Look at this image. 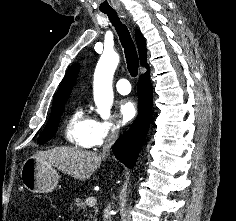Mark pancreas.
Returning <instances> with one entry per match:
<instances>
[{
  "label": "pancreas",
  "mask_w": 236,
  "mask_h": 221,
  "mask_svg": "<svg viewBox=\"0 0 236 221\" xmlns=\"http://www.w3.org/2000/svg\"><path fill=\"white\" fill-rule=\"evenodd\" d=\"M76 207V211L78 212L79 210H81L82 208L85 209L86 208V203L84 202L83 199H81L80 197L75 198L74 202L71 204V209ZM92 212H94V215L92 214ZM97 212L98 209L96 207H94V211H89V216H88V220L87 221H97ZM85 214L87 215V209ZM84 221V220H83Z\"/></svg>",
  "instance_id": "pancreas-1"
}]
</instances>
